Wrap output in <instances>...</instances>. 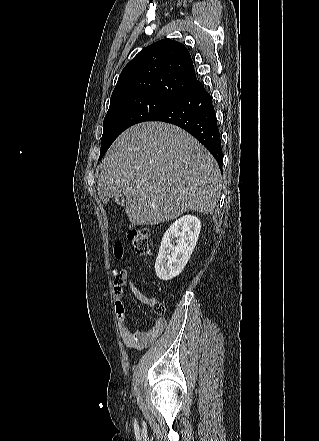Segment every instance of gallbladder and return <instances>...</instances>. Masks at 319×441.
I'll use <instances>...</instances> for the list:
<instances>
[{"instance_id": "gallbladder-1", "label": "gallbladder", "mask_w": 319, "mask_h": 441, "mask_svg": "<svg viewBox=\"0 0 319 441\" xmlns=\"http://www.w3.org/2000/svg\"><path fill=\"white\" fill-rule=\"evenodd\" d=\"M115 201L118 205L123 206L125 200L124 197L121 194H119L118 196L115 197Z\"/></svg>"}]
</instances>
